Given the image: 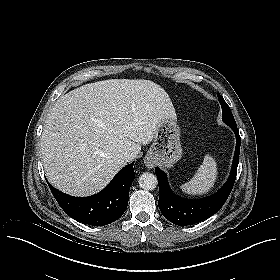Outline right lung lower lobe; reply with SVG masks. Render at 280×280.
Masks as SVG:
<instances>
[{
    "instance_id": "1",
    "label": "right lung lower lobe",
    "mask_w": 280,
    "mask_h": 280,
    "mask_svg": "<svg viewBox=\"0 0 280 280\" xmlns=\"http://www.w3.org/2000/svg\"><path fill=\"white\" fill-rule=\"evenodd\" d=\"M133 164L121 169L106 188L89 197H72L47 183L67 215L92 226H104L119 219L127 208L129 190L134 180Z\"/></svg>"
}]
</instances>
